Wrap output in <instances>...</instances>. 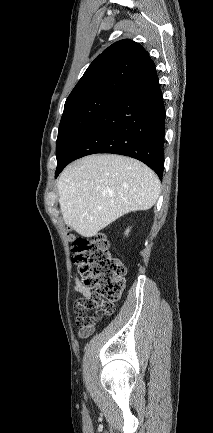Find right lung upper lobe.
Segmentation results:
<instances>
[{"instance_id": "right-lung-upper-lobe-1", "label": "right lung upper lobe", "mask_w": 213, "mask_h": 433, "mask_svg": "<svg viewBox=\"0 0 213 433\" xmlns=\"http://www.w3.org/2000/svg\"><path fill=\"white\" fill-rule=\"evenodd\" d=\"M154 67L140 44L130 39L117 41L90 64L66 103L102 92L122 93Z\"/></svg>"}]
</instances>
